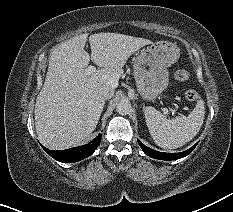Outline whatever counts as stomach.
<instances>
[{
    "mask_svg": "<svg viewBox=\"0 0 233 212\" xmlns=\"http://www.w3.org/2000/svg\"><path fill=\"white\" fill-rule=\"evenodd\" d=\"M180 55L179 47L172 42L158 41L147 46L134 59V76L137 90L144 100H154L169 83L167 68Z\"/></svg>",
    "mask_w": 233,
    "mask_h": 212,
    "instance_id": "0dacf381",
    "label": "stomach"
}]
</instances>
